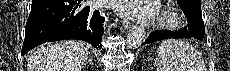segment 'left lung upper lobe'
Wrapping results in <instances>:
<instances>
[{"label": "left lung upper lobe", "mask_w": 230, "mask_h": 71, "mask_svg": "<svg viewBox=\"0 0 230 71\" xmlns=\"http://www.w3.org/2000/svg\"><path fill=\"white\" fill-rule=\"evenodd\" d=\"M200 1L201 0H177L180 6L186 5V4H193V5L201 7Z\"/></svg>", "instance_id": "obj_1"}]
</instances>
